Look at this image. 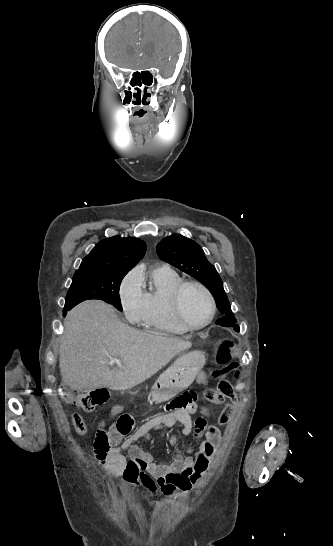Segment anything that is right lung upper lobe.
<instances>
[{
    "label": "right lung upper lobe",
    "mask_w": 333,
    "mask_h": 546,
    "mask_svg": "<svg viewBox=\"0 0 333 546\" xmlns=\"http://www.w3.org/2000/svg\"><path fill=\"white\" fill-rule=\"evenodd\" d=\"M147 245L139 238L114 236L101 240L87 255L75 275L94 267L131 270L144 256Z\"/></svg>",
    "instance_id": "right-lung-upper-lobe-1"
}]
</instances>
